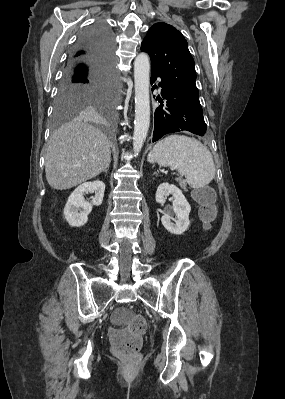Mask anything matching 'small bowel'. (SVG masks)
Wrapping results in <instances>:
<instances>
[{"instance_id": "1", "label": "small bowel", "mask_w": 285, "mask_h": 399, "mask_svg": "<svg viewBox=\"0 0 285 399\" xmlns=\"http://www.w3.org/2000/svg\"><path fill=\"white\" fill-rule=\"evenodd\" d=\"M207 189H208V191H209L210 193H213L211 188H207Z\"/></svg>"}]
</instances>
